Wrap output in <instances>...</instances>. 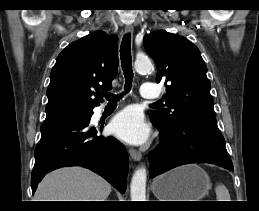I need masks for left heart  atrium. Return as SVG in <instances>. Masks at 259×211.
<instances>
[{"label":"left heart atrium","mask_w":259,"mask_h":211,"mask_svg":"<svg viewBox=\"0 0 259 211\" xmlns=\"http://www.w3.org/2000/svg\"><path fill=\"white\" fill-rule=\"evenodd\" d=\"M110 129L122 141L135 145L144 143L150 133L142 113L135 108H126L119 112L112 119Z\"/></svg>","instance_id":"39dd6f15"}]
</instances>
